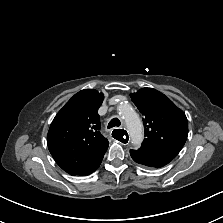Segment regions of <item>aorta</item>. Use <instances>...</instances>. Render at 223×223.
Segmentation results:
<instances>
[{
  "instance_id": "1",
  "label": "aorta",
  "mask_w": 223,
  "mask_h": 223,
  "mask_svg": "<svg viewBox=\"0 0 223 223\" xmlns=\"http://www.w3.org/2000/svg\"><path fill=\"white\" fill-rule=\"evenodd\" d=\"M119 111L126 123L132 144L136 147L140 146L143 141V130L139 115L126 103L119 106Z\"/></svg>"
}]
</instances>
